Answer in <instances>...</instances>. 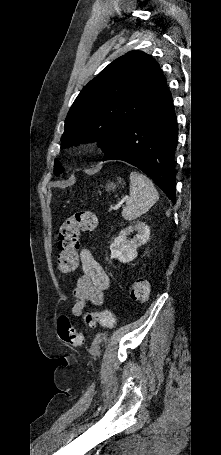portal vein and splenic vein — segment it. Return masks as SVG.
Segmentation results:
<instances>
[{"mask_svg": "<svg viewBox=\"0 0 221 455\" xmlns=\"http://www.w3.org/2000/svg\"><path fill=\"white\" fill-rule=\"evenodd\" d=\"M120 206H121L120 204H117V205H115V206L112 207V210H117V209L120 208Z\"/></svg>", "mask_w": 221, "mask_h": 455, "instance_id": "1", "label": "portal vein and splenic vein"}]
</instances>
